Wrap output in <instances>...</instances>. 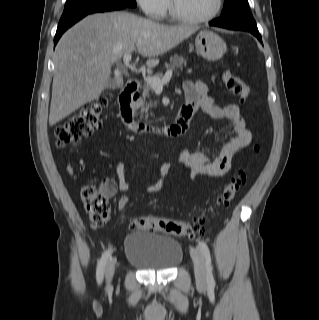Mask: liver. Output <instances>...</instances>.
<instances>
[{
    "mask_svg": "<svg viewBox=\"0 0 319 320\" xmlns=\"http://www.w3.org/2000/svg\"><path fill=\"white\" fill-rule=\"evenodd\" d=\"M197 29L168 26L127 12L93 14L63 34L54 56L55 71L49 114L50 126L99 98L108 87L111 66L137 49L158 64L163 55Z\"/></svg>",
    "mask_w": 319,
    "mask_h": 320,
    "instance_id": "1",
    "label": "liver"
}]
</instances>
